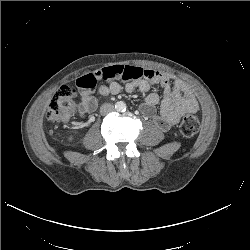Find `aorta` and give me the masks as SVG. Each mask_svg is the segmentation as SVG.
<instances>
[{"label": "aorta", "mask_w": 250, "mask_h": 250, "mask_svg": "<svg viewBox=\"0 0 250 250\" xmlns=\"http://www.w3.org/2000/svg\"><path fill=\"white\" fill-rule=\"evenodd\" d=\"M115 110L118 112H124L126 110V104L123 101L116 102Z\"/></svg>", "instance_id": "762f6f07"}]
</instances>
